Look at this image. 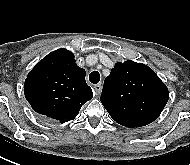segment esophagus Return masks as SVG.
Returning <instances> with one entry per match:
<instances>
[{"label":"esophagus","mask_w":190,"mask_h":165,"mask_svg":"<svg viewBox=\"0 0 190 165\" xmlns=\"http://www.w3.org/2000/svg\"><path fill=\"white\" fill-rule=\"evenodd\" d=\"M102 91V84L98 83L94 86L95 95H100Z\"/></svg>","instance_id":"1"}]
</instances>
